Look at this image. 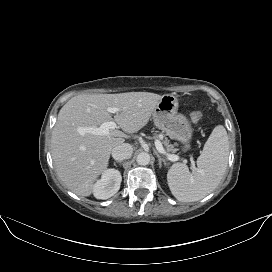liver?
<instances>
[{
    "mask_svg": "<svg viewBox=\"0 0 272 272\" xmlns=\"http://www.w3.org/2000/svg\"><path fill=\"white\" fill-rule=\"evenodd\" d=\"M162 96L150 92L83 94L71 98L59 111L52 131L51 154L62 182L75 194L86 197L109 164L114 147L148 123ZM108 107L118 108L113 116ZM114 119L120 130L96 135L88 128Z\"/></svg>",
    "mask_w": 272,
    "mask_h": 272,
    "instance_id": "liver-1",
    "label": "liver"
}]
</instances>
